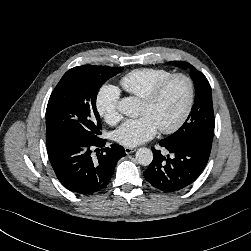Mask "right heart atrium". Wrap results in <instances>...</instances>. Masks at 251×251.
Segmentation results:
<instances>
[{
  "label": "right heart atrium",
  "mask_w": 251,
  "mask_h": 251,
  "mask_svg": "<svg viewBox=\"0 0 251 251\" xmlns=\"http://www.w3.org/2000/svg\"><path fill=\"white\" fill-rule=\"evenodd\" d=\"M118 102L119 92L112 85L102 87L96 97L97 111L109 124H116L120 120Z\"/></svg>",
  "instance_id": "right-heart-atrium-1"
}]
</instances>
